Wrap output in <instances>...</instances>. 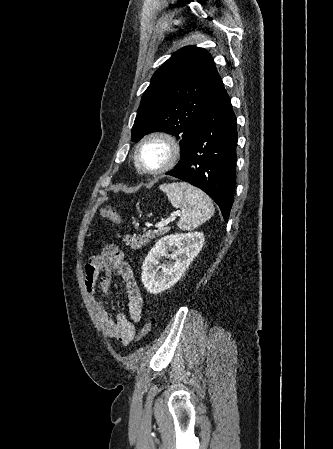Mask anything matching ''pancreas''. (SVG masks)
Segmentation results:
<instances>
[{
	"instance_id": "1",
	"label": "pancreas",
	"mask_w": 333,
	"mask_h": 449,
	"mask_svg": "<svg viewBox=\"0 0 333 449\" xmlns=\"http://www.w3.org/2000/svg\"><path fill=\"white\" fill-rule=\"evenodd\" d=\"M169 231L168 227H161L158 230L148 231L142 235L133 236L130 239L126 238V244L132 249H140L142 246H146L156 236L163 235Z\"/></svg>"
}]
</instances>
